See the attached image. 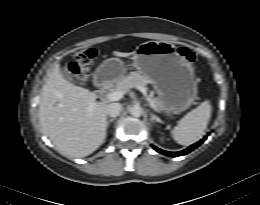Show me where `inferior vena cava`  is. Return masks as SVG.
<instances>
[{
    "mask_svg": "<svg viewBox=\"0 0 260 205\" xmlns=\"http://www.w3.org/2000/svg\"><path fill=\"white\" fill-rule=\"evenodd\" d=\"M122 111V105L120 103H111L106 106V114L110 117H116Z\"/></svg>",
    "mask_w": 260,
    "mask_h": 205,
    "instance_id": "1",
    "label": "inferior vena cava"
}]
</instances>
